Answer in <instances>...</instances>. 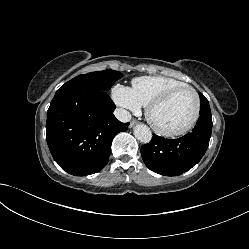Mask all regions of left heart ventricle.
<instances>
[{
  "instance_id": "1",
  "label": "left heart ventricle",
  "mask_w": 249,
  "mask_h": 249,
  "mask_svg": "<svg viewBox=\"0 0 249 249\" xmlns=\"http://www.w3.org/2000/svg\"><path fill=\"white\" fill-rule=\"evenodd\" d=\"M194 110L193 93L189 90H182L153 111V120L164 130H178L190 121Z\"/></svg>"
}]
</instances>
